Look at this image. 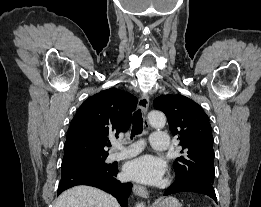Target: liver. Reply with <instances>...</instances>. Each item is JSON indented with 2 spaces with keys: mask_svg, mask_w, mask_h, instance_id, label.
Wrapping results in <instances>:
<instances>
[{
  "mask_svg": "<svg viewBox=\"0 0 261 207\" xmlns=\"http://www.w3.org/2000/svg\"><path fill=\"white\" fill-rule=\"evenodd\" d=\"M53 207H120L110 194L90 186H75L64 191Z\"/></svg>",
  "mask_w": 261,
  "mask_h": 207,
  "instance_id": "1",
  "label": "liver"
}]
</instances>
